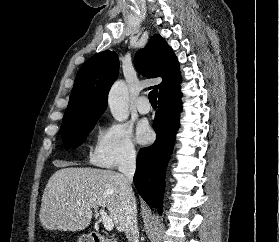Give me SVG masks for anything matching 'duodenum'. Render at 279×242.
<instances>
[{
	"label": "duodenum",
	"instance_id": "410a0bca",
	"mask_svg": "<svg viewBox=\"0 0 279 242\" xmlns=\"http://www.w3.org/2000/svg\"><path fill=\"white\" fill-rule=\"evenodd\" d=\"M92 242H110V240L100 234H93Z\"/></svg>",
	"mask_w": 279,
	"mask_h": 242
}]
</instances>
